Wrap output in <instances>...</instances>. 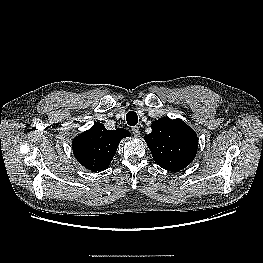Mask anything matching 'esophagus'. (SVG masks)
I'll return each mask as SVG.
<instances>
[{
  "label": "esophagus",
  "instance_id": "obj_1",
  "mask_svg": "<svg viewBox=\"0 0 263 263\" xmlns=\"http://www.w3.org/2000/svg\"><path fill=\"white\" fill-rule=\"evenodd\" d=\"M132 133L134 136H139L140 135V130H139V127L138 126H134L132 127Z\"/></svg>",
  "mask_w": 263,
  "mask_h": 263
}]
</instances>
